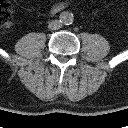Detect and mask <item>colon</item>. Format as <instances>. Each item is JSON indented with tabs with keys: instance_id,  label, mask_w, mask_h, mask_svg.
Listing matches in <instances>:
<instances>
[{
	"instance_id": "5ec220e1",
	"label": "colon",
	"mask_w": 128,
	"mask_h": 128,
	"mask_svg": "<svg viewBox=\"0 0 128 128\" xmlns=\"http://www.w3.org/2000/svg\"><path fill=\"white\" fill-rule=\"evenodd\" d=\"M12 9L6 0H0V31L10 29L12 25Z\"/></svg>"
}]
</instances>
